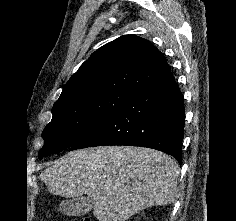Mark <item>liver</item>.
Segmentation results:
<instances>
[{
    "label": "liver",
    "mask_w": 236,
    "mask_h": 221,
    "mask_svg": "<svg viewBox=\"0 0 236 221\" xmlns=\"http://www.w3.org/2000/svg\"><path fill=\"white\" fill-rule=\"evenodd\" d=\"M179 174L177 161L163 152L104 146L69 152L40 178L53 195L92 198L99 221H126L145 208L173 203Z\"/></svg>",
    "instance_id": "liver-1"
}]
</instances>
